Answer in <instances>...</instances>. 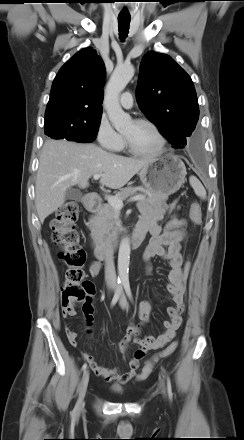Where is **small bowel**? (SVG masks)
Wrapping results in <instances>:
<instances>
[{"label": "small bowel", "mask_w": 244, "mask_h": 440, "mask_svg": "<svg viewBox=\"0 0 244 440\" xmlns=\"http://www.w3.org/2000/svg\"><path fill=\"white\" fill-rule=\"evenodd\" d=\"M139 210L141 218L138 226H145L151 234L149 244L144 253V259L148 263L147 270L151 271L149 261L155 256H159L167 260L170 267L168 292L173 306H170L167 311L170 319L164 321V332L158 336L147 335L143 339L139 338L140 326L130 322L124 338L118 344L119 350L124 353L128 344L145 346L149 349H158L170 342L176 334L177 329L182 323V306L183 295L185 292L184 281L182 277V263L183 257L181 255L180 242L184 239L185 220L173 216L171 220L161 227L158 222L163 219L165 210L162 203L150 204L140 203ZM100 264L94 262L89 267L91 276H96L100 271ZM152 305L149 301H142L139 305L138 314L143 323L150 321ZM84 321L86 326V334L91 337L93 330L94 308L83 309ZM68 317V316H64ZM67 337L73 346H77V333L72 331L67 325L65 327ZM84 359L89 363L93 372L108 382L117 384H125L136 375V370L140 366L142 358L134 356L129 360V370L126 372L120 371L118 368H107L99 364L95 358L89 353L82 354Z\"/></svg>", "instance_id": "1"}]
</instances>
